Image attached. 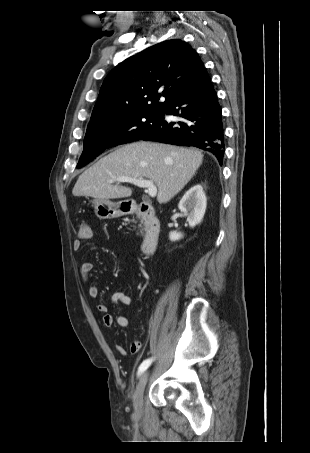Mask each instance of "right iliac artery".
Segmentation results:
<instances>
[{"mask_svg":"<svg viewBox=\"0 0 310 453\" xmlns=\"http://www.w3.org/2000/svg\"><path fill=\"white\" fill-rule=\"evenodd\" d=\"M151 362V358L144 360L138 368V373H143L150 366Z\"/></svg>","mask_w":310,"mask_h":453,"instance_id":"82829eb1","label":"right iliac artery"}]
</instances>
